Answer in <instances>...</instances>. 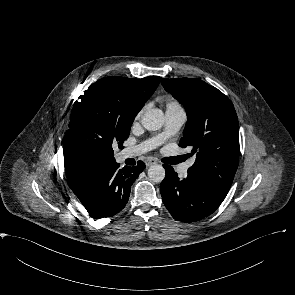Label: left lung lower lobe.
I'll return each instance as SVG.
<instances>
[{"instance_id": "0a47b994", "label": "left lung lower lobe", "mask_w": 295, "mask_h": 295, "mask_svg": "<svg viewBox=\"0 0 295 295\" xmlns=\"http://www.w3.org/2000/svg\"><path fill=\"white\" fill-rule=\"evenodd\" d=\"M165 179L160 185L163 203L177 221L196 222L212 214L225 197L213 192L203 182L188 175L180 179L174 169L163 165Z\"/></svg>"}]
</instances>
